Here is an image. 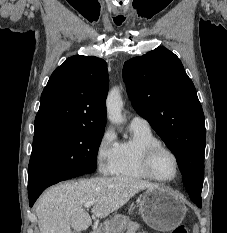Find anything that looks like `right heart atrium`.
<instances>
[{"label":"right heart atrium","instance_id":"right-heart-atrium-1","mask_svg":"<svg viewBox=\"0 0 227 233\" xmlns=\"http://www.w3.org/2000/svg\"><path fill=\"white\" fill-rule=\"evenodd\" d=\"M118 145L114 131L106 127L95 147V161L101 174H113L118 160Z\"/></svg>","mask_w":227,"mask_h":233}]
</instances>
